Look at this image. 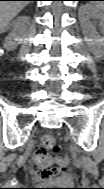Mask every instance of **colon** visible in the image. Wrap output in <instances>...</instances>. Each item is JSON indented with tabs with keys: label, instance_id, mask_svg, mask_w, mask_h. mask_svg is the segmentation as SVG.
<instances>
[{
	"label": "colon",
	"instance_id": "obj_1",
	"mask_svg": "<svg viewBox=\"0 0 104 189\" xmlns=\"http://www.w3.org/2000/svg\"><path fill=\"white\" fill-rule=\"evenodd\" d=\"M58 146L52 135L46 134L41 138L35 151V169L43 178H51L59 174L67 165V159L57 157Z\"/></svg>",
	"mask_w": 104,
	"mask_h": 189
}]
</instances>
